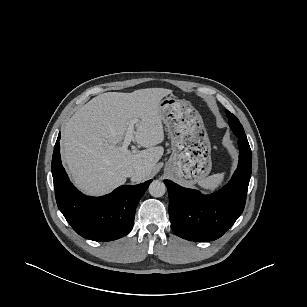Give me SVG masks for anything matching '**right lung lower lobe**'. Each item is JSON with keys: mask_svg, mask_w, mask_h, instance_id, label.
Here are the masks:
<instances>
[{"mask_svg": "<svg viewBox=\"0 0 307 307\" xmlns=\"http://www.w3.org/2000/svg\"><path fill=\"white\" fill-rule=\"evenodd\" d=\"M60 134L52 157L56 202L71 227L82 237L111 241L127 235L134 223L137 204L152 180L122 185L102 197L80 193L70 182L60 158Z\"/></svg>", "mask_w": 307, "mask_h": 307, "instance_id": "1", "label": "right lung lower lobe"}]
</instances>
